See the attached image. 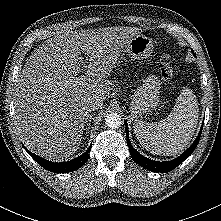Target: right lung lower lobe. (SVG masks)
<instances>
[{
    "instance_id": "obj_1",
    "label": "right lung lower lobe",
    "mask_w": 221,
    "mask_h": 221,
    "mask_svg": "<svg viewBox=\"0 0 221 221\" xmlns=\"http://www.w3.org/2000/svg\"><path fill=\"white\" fill-rule=\"evenodd\" d=\"M24 149L28 152V154L36 161L38 162L43 168H45L48 171L55 172V173H68L72 172L81 166H83L87 160L89 159V152L91 149V146L87 150V152L83 153L79 157L63 162V163H54L49 160H46L42 157H39L38 155H35L31 153L29 150H27L25 147Z\"/></svg>"
}]
</instances>
